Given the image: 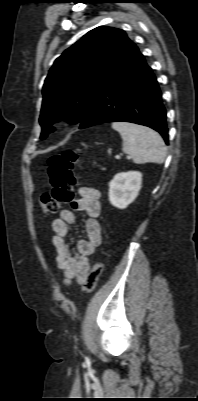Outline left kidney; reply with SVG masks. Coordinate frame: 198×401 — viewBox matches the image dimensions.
<instances>
[{
  "mask_svg": "<svg viewBox=\"0 0 198 401\" xmlns=\"http://www.w3.org/2000/svg\"><path fill=\"white\" fill-rule=\"evenodd\" d=\"M142 174L138 171L121 172L109 183V201L119 209H125L139 194Z\"/></svg>",
  "mask_w": 198,
  "mask_h": 401,
  "instance_id": "obj_1",
  "label": "left kidney"
}]
</instances>
